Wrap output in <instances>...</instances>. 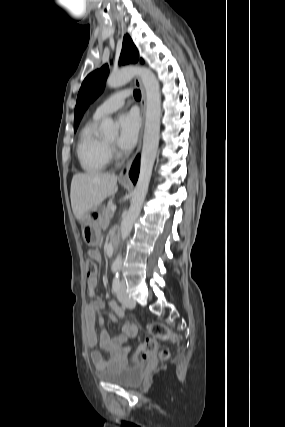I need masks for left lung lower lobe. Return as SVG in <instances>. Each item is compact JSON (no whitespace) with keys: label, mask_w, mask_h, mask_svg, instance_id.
<instances>
[{"label":"left lung lower lobe","mask_w":285,"mask_h":427,"mask_svg":"<svg viewBox=\"0 0 285 427\" xmlns=\"http://www.w3.org/2000/svg\"><path fill=\"white\" fill-rule=\"evenodd\" d=\"M139 168H140V160H139V156H137L129 172V176L134 184L138 179Z\"/></svg>","instance_id":"left-lung-lower-lobe-1"}]
</instances>
